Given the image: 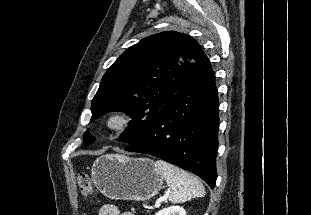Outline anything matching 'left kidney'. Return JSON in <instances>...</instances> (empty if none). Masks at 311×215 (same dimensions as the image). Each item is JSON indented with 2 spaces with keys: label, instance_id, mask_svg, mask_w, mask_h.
<instances>
[{
  "label": "left kidney",
  "instance_id": "1",
  "mask_svg": "<svg viewBox=\"0 0 311 215\" xmlns=\"http://www.w3.org/2000/svg\"><path fill=\"white\" fill-rule=\"evenodd\" d=\"M156 215H186V211L180 206H170L160 210Z\"/></svg>",
  "mask_w": 311,
  "mask_h": 215
}]
</instances>
